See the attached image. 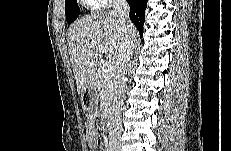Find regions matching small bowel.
<instances>
[{
	"label": "small bowel",
	"instance_id": "obj_1",
	"mask_svg": "<svg viewBox=\"0 0 231 151\" xmlns=\"http://www.w3.org/2000/svg\"><path fill=\"white\" fill-rule=\"evenodd\" d=\"M86 127V140L88 147L92 151H96V146L98 142V132L95 127V115H90L85 122Z\"/></svg>",
	"mask_w": 231,
	"mask_h": 151
}]
</instances>
